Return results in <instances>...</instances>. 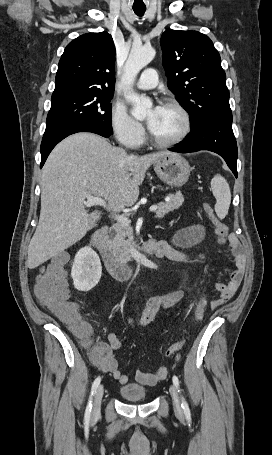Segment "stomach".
<instances>
[{"label": "stomach", "instance_id": "0dacf381", "mask_svg": "<svg viewBox=\"0 0 272 455\" xmlns=\"http://www.w3.org/2000/svg\"><path fill=\"white\" fill-rule=\"evenodd\" d=\"M154 170L168 185L180 187L188 181L191 167L188 161L179 154H170L155 161Z\"/></svg>", "mask_w": 272, "mask_h": 455}]
</instances>
